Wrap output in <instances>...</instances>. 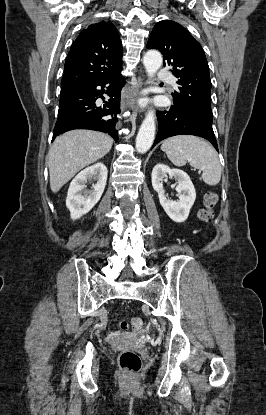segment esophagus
<instances>
[{
  "mask_svg": "<svg viewBox=\"0 0 266 415\" xmlns=\"http://www.w3.org/2000/svg\"><path fill=\"white\" fill-rule=\"evenodd\" d=\"M143 84H144L143 83V78H142V76H139L138 79H137L136 85L131 87L128 90L126 97L128 98V105L131 108H135V104H136V101H137V96H138L139 91H140L141 87L143 86Z\"/></svg>",
  "mask_w": 266,
  "mask_h": 415,
  "instance_id": "34e87169",
  "label": "esophagus"
}]
</instances>
